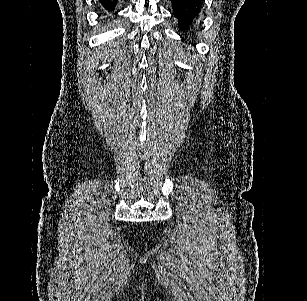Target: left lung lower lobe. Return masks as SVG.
I'll list each match as a JSON object with an SVG mask.
<instances>
[{"mask_svg":"<svg viewBox=\"0 0 307 301\" xmlns=\"http://www.w3.org/2000/svg\"><path fill=\"white\" fill-rule=\"evenodd\" d=\"M203 0H172L173 15L178 19V26L183 32L196 25Z\"/></svg>","mask_w":307,"mask_h":301,"instance_id":"1","label":"left lung lower lobe"}]
</instances>
